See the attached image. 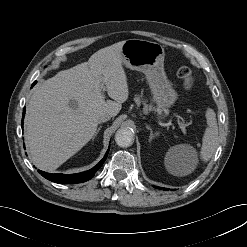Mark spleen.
<instances>
[{"label":"spleen","instance_id":"1","mask_svg":"<svg viewBox=\"0 0 247 247\" xmlns=\"http://www.w3.org/2000/svg\"><path fill=\"white\" fill-rule=\"evenodd\" d=\"M206 120L207 128L205 130L203 139H202V148L200 151V158L207 162L212 157L214 151L218 145V126L216 121V114L212 109H207L206 111ZM167 167L170 171L174 170L173 164L170 161H167Z\"/></svg>","mask_w":247,"mask_h":247}]
</instances>
